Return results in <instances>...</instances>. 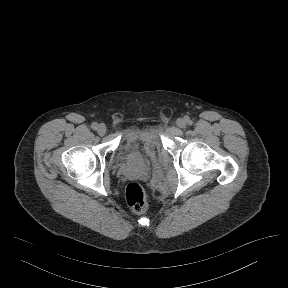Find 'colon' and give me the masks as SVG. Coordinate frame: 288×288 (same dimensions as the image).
<instances>
[{
  "mask_svg": "<svg viewBox=\"0 0 288 288\" xmlns=\"http://www.w3.org/2000/svg\"><path fill=\"white\" fill-rule=\"evenodd\" d=\"M126 202L136 214H143L147 210L146 193L142 185L132 181L126 188Z\"/></svg>",
  "mask_w": 288,
  "mask_h": 288,
  "instance_id": "1",
  "label": "colon"
}]
</instances>
